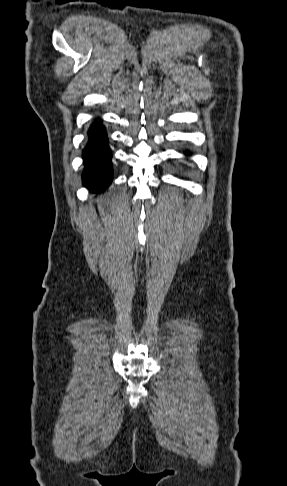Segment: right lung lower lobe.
<instances>
[{"mask_svg":"<svg viewBox=\"0 0 287 486\" xmlns=\"http://www.w3.org/2000/svg\"><path fill=\"white\" fill-rule=\"evenodd\" d=\"M85 170L83 182L92 192L104 190L113 178L111 152L107 134L100 121L89 130V141L83 150Z\"/></svg>","mask_w":287,"mask_h":486,"instance_id":"obj_1","label":"right lung lower lobe"}]
</instances>
